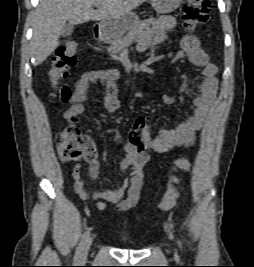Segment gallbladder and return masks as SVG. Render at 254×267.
I'll use <instances>...</instances> for the list:
<instances>
[{
    "instance_id": "1",
    "label": "gallbladder",
    "mask_w": 254,
    "mask_h": 267,
    "mask_svg": "<svg viewBox=\"0 0 254 267\" xmlns=\"http://www.w3.org/2000/svg\"><path fill=\"white\" fill-rule=\"evenodd\" d=\"M72 33H73V25H72V24L67 23V24H65V25L62 27L61 35H62L63 37H68V36H70Z\"/></svg>"
}]
</instances>
